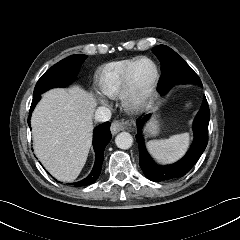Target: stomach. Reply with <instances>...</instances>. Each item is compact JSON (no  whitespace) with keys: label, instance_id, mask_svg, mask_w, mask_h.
<instances>
[{"label":"stomach","instance_id":"1","mask_svg":"<svg viewBox=\"0 0 240 240\" xmlns=\"http://www.w3.org/2000/svg\"><path fill=\"white\" fill-rule=\"evenodd\" d=\"M146 132L150 136H155L159 132V124L156 119L151 120L146 127Z\"/></svg>","mask_w":240,"mask_h":240}]
</instances>
